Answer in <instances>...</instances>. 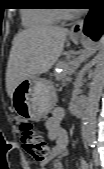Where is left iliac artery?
<instances>
[{"mask_svg":"<svg viewBox=\"0 0 104 169\" xmlns=\"http://www.w3.org/2000/svg\"><path fill=\"white\" fill-rule=\"evenodd\" d=\"M88 143L89 145L94 148L95 147V144H96V141L94 139H88Z\"/></svg>","mask_w":104,"mask_h":169,"instance_id":"obj_1","label":"left iliac artery"}]
</instances>
